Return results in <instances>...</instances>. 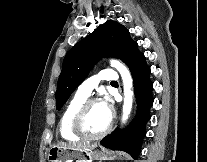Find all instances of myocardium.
<instances>
[{
    "instance_id": "obj_1",
    "label": "myocardium",
    "mask_w": 207,
    "mask_h": 162,
    "mask_svg": "<svg viewBox=\"0 0 207 162\" xmlns=\"http://www.w3.org/2000/svg\"><path fill=\"white\" fill-rule=\"evenodd\" d=\"M98 103H100L99 99H96V98L87 99L76 110V112L73 115L72 121H71V129L74 132V134L84 139L97 140V139L103 138L105 135H107L110 132L112 125H113L112 116L110 117V121L108 125L106 126V128L98 134H90L86 131L84 127V119H85L86 113L88 112L91 106H93L94 104H98Z\"/></svg>"
}]
</instances>
